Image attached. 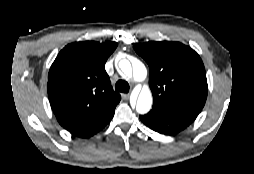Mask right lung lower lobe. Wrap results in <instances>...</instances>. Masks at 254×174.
<instances>
[{"instance_id":"98d812e1","label":"right lung lower lobe","mask_w":254,"mask_h":174,"mask_svg":"<svg viewBox=\"0 0 254 174\" xmlns=\"http://www.w3.org/2000/svg\"><path fill=\"white\" fill-rule=\"evenodd\" d=\"M115 108L106 111L70 130V133L77 137L88 138L102 130L112 119Z\"/></svg>"}]
</instances>
